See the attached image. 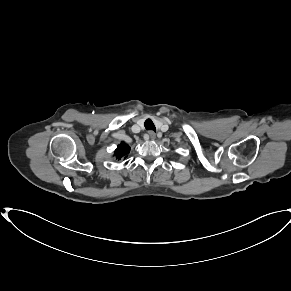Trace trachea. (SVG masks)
<instances>
[{
	"label": "trachea",
	"instance_id": "1",
	"mask_svg": "<svg viewBox=\"0 0 291 291\" xmlns=\"http://www.w3.org/2000/svg\"><path fill=\"white\" fill-rule=\"evenodd\" d=\"M144 126H145L146 130H152V131L156 132V128H155L151 119H147L144 123Z\"/></svg>",
	"mask_w": 291,
	"mask_h": 291
}]
</instances>
